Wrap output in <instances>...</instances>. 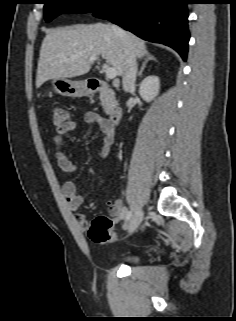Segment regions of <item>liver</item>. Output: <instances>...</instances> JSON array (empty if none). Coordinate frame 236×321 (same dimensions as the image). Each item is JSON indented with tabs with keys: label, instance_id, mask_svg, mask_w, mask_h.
<instances>
[{
	"label": "liver",
	"instance_id": "1",
	"mask_svg": "<svg viewBox=\"0 0 236 321\" xmlns=\"http://www.w3.org/2000/svg\"><path fill=\"white\" fill-rule=\"evenodd\" d=\"M125 33L136 57L148 54L142 39ZM99 55L116 69L117 75L124 74L125 48L111 25L96 23L49 30L40 49L36 87L50 79L74 78L88 73L93 63L90 57Z\"/></svg>",
	"mask_w": 236,
	"mask_h": 321
}]
</instances>
